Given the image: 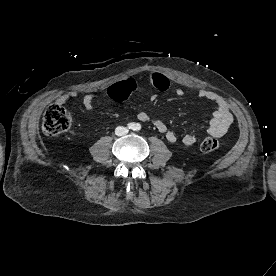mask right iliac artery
Listing matches in <instances>:
<instances>
[{
    "label": "right iliac artery",
    "instance_id": "right-iliac-artery-1",
    "mask_svg": "<svg viewBox=\"0 0 276 276\" xmlns=\"http://www.w3.org/2000/svg\"><path fill=\"white\" fill-rule=\"evenodd\" d=\"M127 128H128V129H131V130H134L135 124H134V123H129V124L127 125Z\"/></svg>",
    "mask_w": 276,
    "mask_h": 276
}]
</instances>
